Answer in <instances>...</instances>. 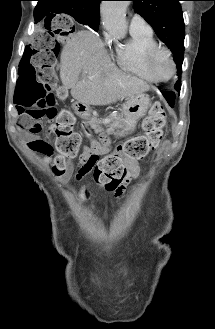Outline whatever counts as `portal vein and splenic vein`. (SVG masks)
Returning <instances> with one entry per match:
<instances>
[{
	"label": "portal vein and splenic vein",
	"mask_w": 215,
	"mask_h": 329,
	"mask_svg": "<svg viewBox=\"0 0 215 329\" xmlns=\"http://www.w3.org/2000/svg\"><path fill=\"white\" fill-rule=\"evenodd\" d=\"M109 122H110V120H107V119L102 121V123H109Z\"/></svg>",
	"instance_id": "portal-vein-and-splenic-vein-1"
}]
</instances>
